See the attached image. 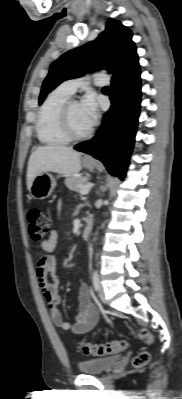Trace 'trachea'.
Segmentation results:
<instances>
[{
	"label": "trachea",
	"instance_id": "obj_1",
	"mask_svg": "<svg viewBox=\"0 0 182 399\" xmlns=\"http://www.w3.org/2000/svg\"><path fill=\"white\" fill-rule=\"evenodd\" d=\"M103 89H109L108 87H104Z\"/></svg>",
	"mask_w": 182,
	"mask_h": 399
}]
</instances>
